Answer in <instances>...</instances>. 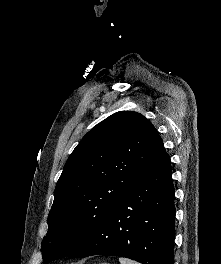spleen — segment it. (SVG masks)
<instances>
[{
    "instance_id": "3e777b00",
    "label": "spleen",
    "mask_w": 221,
    "mask_h": 264,
    "mask_svg": "<svg viewBox=\"0 0 221 264\" xmlns=\"http://www.w3.org/2000/svg\"><path fill=\"white\" fill-rule=\"evenodd\" d=\"M119 262H120V264H139V263H137L135 261H132L130 259H126V258H123V257L119 258Z\"/></svg>"
}]
</instances>
